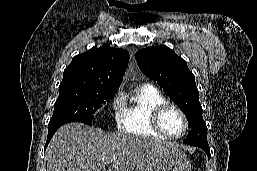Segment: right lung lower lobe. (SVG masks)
Here are the masks:
<instances>
[{
  "label": "right lung lower lobe",
  "mask_w": 257,
  "mask_h": 171,
  "mask_svg": "<svg viewBox=\"0 0 257 171\" xmlns=\"http://www.w3.org/2000/svg\"><path fill=\"white\" fill-rule=\"evenodd\" d=\"M68 122H61V123H54V124H49L48 125V137H47V141L46 144L44 146V150L46 149V147L48 146L51 138L53 137L54 133L64 124H66Z\"/></svg>",
  "instance_id": "1"
}]
</instances>
